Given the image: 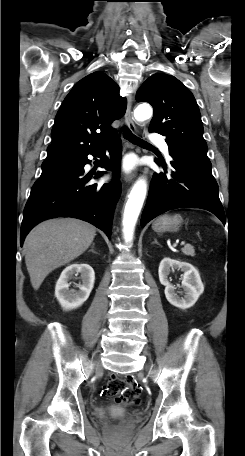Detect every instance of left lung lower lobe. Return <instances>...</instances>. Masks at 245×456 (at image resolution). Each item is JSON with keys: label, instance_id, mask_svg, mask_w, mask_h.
Segmentation results:
<instances>
[{"label": "left lung lower lobe", "instance_id": "1", "mask_svg": "<svg viewBox=\"0 0 245 456\" xmlns=\"http://www.w3.org/2000/svg\"><path fill=\"white\" fill-rule=\"evenodd\" d=\"M169 154L172 158L169 164L160 161L165 173H154L152 177L141 226L176 208L205 209L225 223L210 160L195 157L170 146ZM156 163L159 164V161L156 160Z\"/></svg>", "mask_w": 245, "mask_h": 456}]
</instances>
